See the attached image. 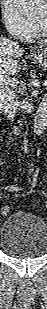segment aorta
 <instances>
[{
	"instance_id": "aorta-1",
	"label": "aorta",
	"mask_w": 47,
	"mask_h": 309,
	"mask_svg": "<svg viewBox=\"0 0 47 309\" xmlns=\"http://www.w3.org/2000/svg\"><path fill=\"white\" fill-rule=\"evenodd\" d=\"M25 15H30L35 9L36 0H14Z\"/></svg>"
}]
</instances>
